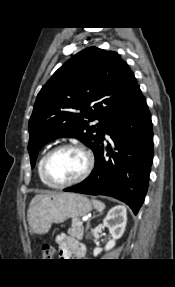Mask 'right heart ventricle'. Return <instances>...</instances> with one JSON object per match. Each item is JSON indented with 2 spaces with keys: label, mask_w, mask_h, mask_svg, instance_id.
Masks as SVG:
<instances>
[{
  "label": "right heart ventricle",
  "mask_w": 175,
  "mask_h": 287,
  "mask_svg": "<svg viewBox=\"0 0 175 287\" xmlns=\"http://www.w3.org/2000/svg\"><path fill=\"white\" fill-rule=\"evenodd\" d=\"M46 154H47V152L44 153V154L40 157V159H39V161H38L37 173H38V177H39L40 181H41L44 185L49 186V185L44 181V179H43V177H42V173H41L42 162H43V159H44V157H45Z\"/></svg>",
  "instance_id": "1"
}]
</instances>
